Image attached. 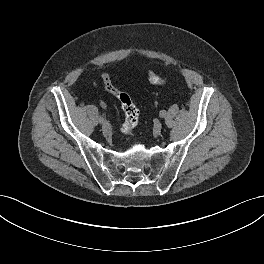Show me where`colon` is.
Listing matches in <instances>:
<instances>
[{
	"mask_svg": "<svg viewBox=\"0 0 264 264\" xmlns=\"http://www.w3.org/2000/svg\"><path fill=\"white\" fill-rule=\"evenodd\" d=\"M101 78L106 90L109 91L111 94H113L121 104L125 116L124 122L122 124L123 132L126 134L132 133L139 119V110L137 106L133 103L130 96L126 92L120 90L115 86L108 73H103ZM147 79L152 84H156V85L167 84L166 78L158 76L153 71L147 72Z\"/></svg>",
	"mask_w": 264,
	"mask_h": 264,
	"instance_id": "colon-1",
	"label": "colon"
}]
</instances>
